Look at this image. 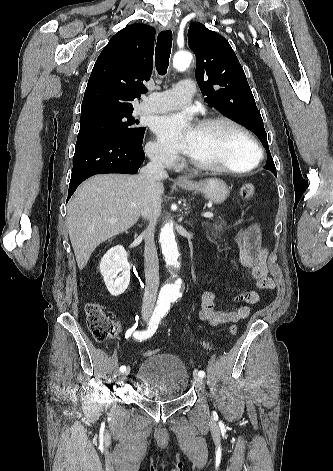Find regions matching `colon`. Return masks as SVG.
Listing matches in <instances>:
<instances>
[{
	"mask_svg": "<svg viewBox=\"0 0 333 471\" xmlns=\"http://www.w3.org/2000/svg\"><path fill=\"white\" fill-rule=\"evenodd\" d=\"M255 194L256 187L252 183H245L240 188V195L243 199H251ZM85 312L87 316V326L95 340L104 341L118 333V324L104 313L98 303H88L85 307ZM229 333L235 335L237 333V327L231 325ZM156 353H158L157 350H148L144 355L150 356Z\"/></svg>",
	"mask_w": 333,
	"mask_h": 471,
	"instance_id": "obj_1",
	"label": "colon"
}]
</instances>
